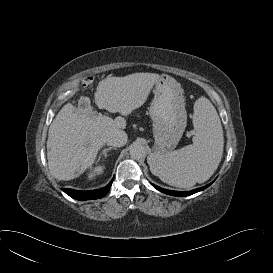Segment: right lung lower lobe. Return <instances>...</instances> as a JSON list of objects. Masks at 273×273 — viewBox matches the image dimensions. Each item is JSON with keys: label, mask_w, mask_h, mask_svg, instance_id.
I'll return each mask as SVG.
<instances>
[{"label": "right lung lower lobe", "mask_w": 273, "mask_h": 273, "mask_svg": "<svg viewBox=\"0 0 273 273\" xmlns=\"http://www.w3.org/2000/svg\"><path fill=\"white\" fill-rule=\"evenodd\" d=\"M112 182H113V179L104 188L98 189V190H93V191H77V190L65 189V188H63L62 190L70 197L80 200V201L93 200V199H99V198H102L103 196H105L108 193V191L112 185Z\"/></svg>", "instance_id": "1"}]
</instances>
